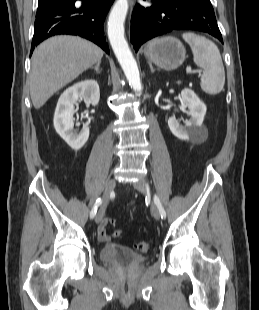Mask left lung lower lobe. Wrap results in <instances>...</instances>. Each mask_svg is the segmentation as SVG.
<instances>
[{
	"instance_id": "0a47b994",
	"label": "left lung lower lobe",
	"mask_w": 259,
	"mask_h": 310,
	"mask_svg": "<svg viewBox=\"0 0 259 310\" xmlns=\"http://www.w3.org/2000/svg\"><path fill=\"white\" fill-rule=\"evenodd\" d=\"M153 5L137 4L131 19V42L137 52L149 39L172 30L207 32L223 43L210 0H150Z\"/></svg>"
}]
</instances>
